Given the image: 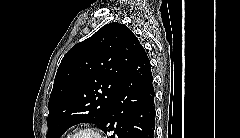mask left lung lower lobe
I'll list each match as a JSON object with an SVG mask.
<instances>
[{"label":"left lung lower lobe","mask_w":240,"mask_h":138,"mask_svg":"<svg viewBox=\"0 0 240 138\" xmlns=\"http://www.w3.org/2000/svg\"><path fill=\"white\" fill-rule=\"evenodd\" d=\"M151 66L143 47L100 127L110 138H154L155 108Z\"/></svg>","instance_id":"1"}]
</instances>
